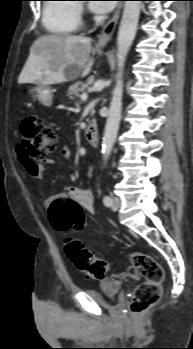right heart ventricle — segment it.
I'll list each match as a JSON object with an SVG mask.
<instances>
[{"label":"right heart ventricle","instance_id":"1","mask_svg":"<svg viewBox=\"0 0 193 349\" xmlns=\"http://www.w3.org/2000/svg\"><path fill=\"white\" fill-rule=\"evenodd\" d=\"M42 23L52 35H71L81 25L80 6L73 0H48V3L44 4Z\"/></svg>","mask_w":193,"mask_h":349}]
</instances>
